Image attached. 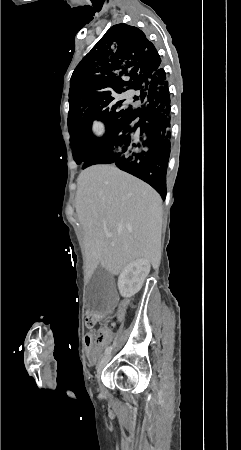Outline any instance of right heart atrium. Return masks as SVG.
I'll list each match as a JSON object with an SVG mask.
<instances>
[{"label": "right heart atrium", "mask_w": 241, "mask_h": 450, "mask_svg": "<svg viewBox=\"0 0 241 450\" xmlns=\"http://www.w3.org/2000/svg\"><path fill=\"white\" fill-rule=\"evenodd\" d=\"M94 130L96 131V137H100V133L104 131V123L102 121L96 120L93 123Z\"/></svg>", "instance_id": "1"}]
</instances>
